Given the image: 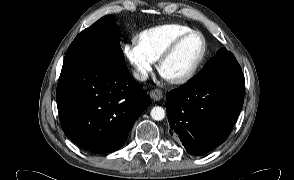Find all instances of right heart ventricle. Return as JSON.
Segmentation results:
<instances>
[{"mask_svg": "<svg viewBox=\"0 0 294 180\" xmlns=\"http://www.w3.org/2000/svg\"><path fill=\"white\" fill-rule=\"evenodd\" d=\"M191 30L185 24H162L141 30L136 38L146 52L157 60L176 38Z\"/></svg>", "mask_w": 294, "mask_h": 180, "instance_id": "obj_1", "label": "right heart ventricle"}]
</instances>
